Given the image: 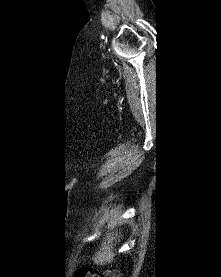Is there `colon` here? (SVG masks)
Instances as JSON below:
<instances>
[{"mask_svg":"<svg viewBox=\"0 0 221 277\" xmlns=\"http://www.w3.org/2000/svg\"><path fill=\"white\" fill-rule=\"evenodd\" d=\"M75 277H120L117 271L108 270L100 272L93 268H81L75 273Z\"/></svg>","mask_w":221,"mask_h":277,"instance_id":"5ec220e1","label":"colon"}]
</instances>
